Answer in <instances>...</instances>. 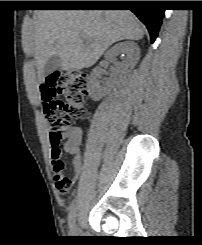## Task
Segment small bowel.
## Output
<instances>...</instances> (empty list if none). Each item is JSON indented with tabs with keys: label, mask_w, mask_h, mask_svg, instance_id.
Segmentation results:
<instances>
[{
	"label": "small bowel",
	"mask_w": 202,
	"mask_h": 245,
	"mask_svg": "<svg viewBox=\"0 0 202 245\" xmlns=\"http://www.w3.org/2000/svg\"><path fill=\"white\" fill-rule=\"evenodd\" d=\"M55 89L47 84H41L39 88V98L42 103L48 105L50 111H55ZM82 134L79 129H74L67 134L63 147H51V170L54 177L55 189L59 193H66L77 182L84 171L82 157L80 152ZM65 151L73 156L74 173L71 177L66 174V162L62 157Z\"/></svg>",
	"instance_id": "obj_1"
}]
</instances>
